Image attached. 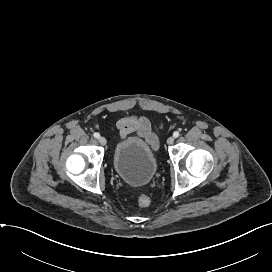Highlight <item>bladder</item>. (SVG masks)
Wrapping results in <instances>:
<instances>
[{
    "mask_svg": "<svg viewBox=\"0 0 272 272\" xmlns=\"http://www.w3.org/2000/svg\"><path fill=\"white\" fill-rule=\"evenodd\" d=\"M113 167L126 183L143 186L153 179L158 163L154 151L142 139L128 137L117 143Z\"/></svg>",
    "mask_w": 272,
    "mask_h": 272,
    "instance_id": "obj_1",
    "label": "bladder"
}]
</instances>
